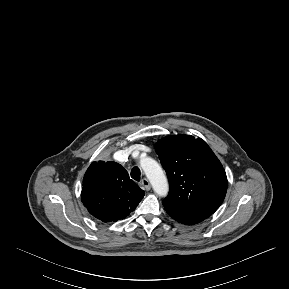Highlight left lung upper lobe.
<instances>
[{
	"mask_svg": "<svg viewBox=\"0 0 289 289\" xmlns=\"http://www.w3.org/2000/svg\"><path fill=\"white\" fill-rule=\"evenodd\" d=\"M156 152L169 179L164 207L211 216L222 204L228 182L207 143L185 134L170 135L158 141Z\"/></svg>",
	"mask_w": 289,
	"mask_h": 289,
	"instance_id": "1",
	"label": "left lung upper lobe"
}]
</instances>
